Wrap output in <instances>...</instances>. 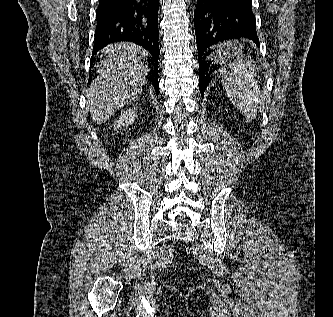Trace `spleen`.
Segmentation results:
<instances>
[{
	"instance_id": "spleen-1",
	"label": "spleen",
	"mask_w": 333,
	"mask_h": 317,
	"mask_svg": "<svg viewBox=\"0 0 333 317\" xmlns=\"http://www.w3.org/2000/svg\"><path fill=\"white\" fill-rule=\"evenodd\" d=\"M235 45L234 42L226 43L222 52L219 51L220 55L227 52L229 60V66L221 69L220 75L224 78L226 94L230 101L244 114L247 121H252L257 114L261 92L255 79L252 60L239 51H234Z\"/></svg>"
}]
</instances>
